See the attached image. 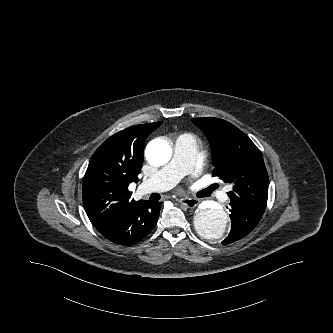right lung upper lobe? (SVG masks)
Masks as SVG:
<instances>
[{
	"label": "right lung upper lobe",
	"mask_w": 333,
	"mask_h": 333,
	"mask_svg": "<svg viewBox=\"0 0 333 333\" xmlns=\"http://www.w3.org/2000/svg\"><path fill=\"white\" fill-rule=\"evenodd\" d=\"M162 122L134 125L108 138L93 154L83 178V205L99 231L109 228L127 208L131 182H138L145 139Z\"/></svg>",
	"instance_id": "obj_1"
}]
</instances>
